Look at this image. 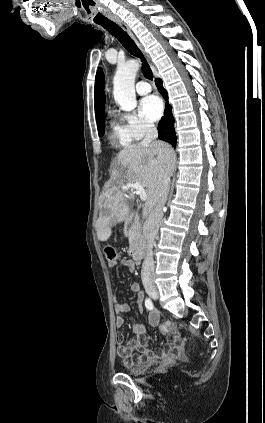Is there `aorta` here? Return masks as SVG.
<instances>
[{
  "label": "aorta",
  "instance_id": "1",
  "mask_svg": "<svg viewBox=\"0 0 265 423\" xmlns=\"http://www.w3.org/2000/svg\"><path fill=\"white\" fill-rule=\"evenodd\" d=\"M139 67L137 60H129L117 67L113 79V95L124 111H132L137 106L134 82Z\"/></svg>",
  "mask_w": 265,
  "mask_h": 423
}]
</instances>
